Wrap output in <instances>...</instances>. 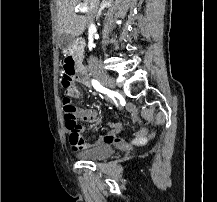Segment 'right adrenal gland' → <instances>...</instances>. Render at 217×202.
Returning a JSON list of instances; mask_svg holds the SVG:
<instances>
[{
  "label": "right adrenal gland",
  "mask_w": 217,
  "mask_h": 202,
  "mask_svg": "<svg viewBox=\"0 0 217 202\" xmlns=\"http://www.w3.org/2000/svg\"><path fill=\"white\" fill-rule=\"evenodd\" d=\"M108 6H110V0H102L100 8L97 12V20L101 18L103 10H105V8H108Z\"/></svg>",
  "instance_id": "2a0ac1e0"
}]
</instances>
